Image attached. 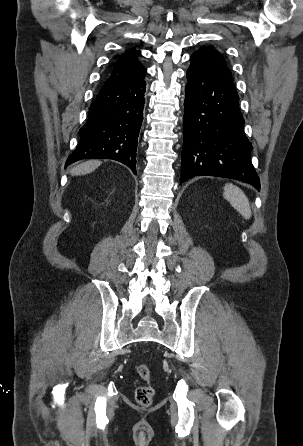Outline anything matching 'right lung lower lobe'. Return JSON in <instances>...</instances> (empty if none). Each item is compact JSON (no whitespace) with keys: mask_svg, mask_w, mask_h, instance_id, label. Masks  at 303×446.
<instances>
[{"mask_svg":"<svg viewBox=\"0 0 303 446\" xmlns=\"http://www.w3.org/2000/svg\"><path fill=\"white\" fill-rule=\"evenodd\" d=\"M144 76L102 88L79 130L80 141L65 166L80 159H113L136 174V150L143 120Z\"/></svg>","mask_w":303,"mask_h":446,"instance_id":"right-lung-lower-lobe-1","label":"right lung lower lobe"}]
</instances>
